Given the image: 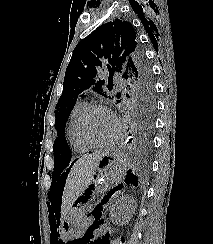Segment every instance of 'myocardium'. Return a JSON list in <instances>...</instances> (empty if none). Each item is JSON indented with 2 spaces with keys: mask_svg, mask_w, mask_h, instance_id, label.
<instances>
[{
  "mask_svg": "<svg viewBox=\"0 0 213 244\" xmlns=\"http://www.w3.org/2000/svg\"><path fill=\"white\" fill-rule=\"evenodd\" d=\"M94 110H103L105 112H108L112 116V118L115 122V126H116L115 133L107 141H103V142L95 141L88 135V133L86 131L87 118L90 115V113ZM77 130H78V134H79L80 138L86 144H88L92 148H103V147H109L117 141V139L120 135V132H121V124H120L119 120L117 119V117L114 115V113L107 106H105L103 104H99V103H92V104H89L85 108V110L82 112V114L79 118L78 124H77Z\"/></svg>",
  "mask_w": 213,
  "mask_h": 244,
  "instance_id": "f54148a6",
  "label": "myocardium"
}]
</instances>
